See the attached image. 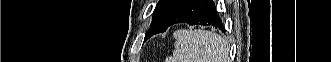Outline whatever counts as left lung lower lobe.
<instances>
[{
	"instance_id": "left-lung-lower-lobe-1",
	"label": "left lung lower lobe",
	"mask_w": 331,
	"mask_h": 62,
	"mask_svg": "<svg viewBox=\"0 0 331 62\" xmlns=\"http://www.w3.org/2000/svg\"><path fill=\"white\" fill-rule=\"evenodd\" d=\"M179 23H188L189 25H212L215 28L224 30L222 20L217 15L216 7L211 0H186L169 18L161 32ZM151 36L152 34L146 33L145 40Z\"/></svg>"
}]
</instances>
